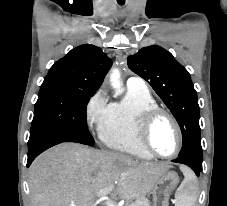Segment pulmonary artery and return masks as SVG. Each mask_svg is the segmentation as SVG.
Returning <instances> with one entry per match:
<instances>
[{
	"label": "pulmonary artery",
	"instance_id": "1",
	"mask_svg": "<svg viewBox=\"0 0 227 206\" xmlns=\"http://www.w3.org/2000/svg\"><path fill=\"white\" fill-rule=\"evenodd\" d=\"M128 89L139 90V91H147V85L145 81L140 77H129L126 82Z\"/></svg>",
	"mask_w": 227,
	"mask_h": 206
}]
</instances>
